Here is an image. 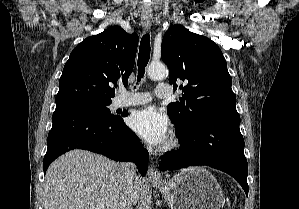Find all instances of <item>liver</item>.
Listing matches in <instances>:
<instances>
[{"instance_id": "obj_1", "label": "liver", "mask_w": 299, "mask_h": 209, "mask_svg": "<svg viewBox=\"0 0 299 209\" xmlns=\"http://www.w3.org/2000/svg\"><path fill=\"white\" fill-rule=\"evenodd\" d=\"M121 164L85 150H72L55 160L47 170L43 188L44 209H119L125 195ZM141 179L130 190L136 204Z\"/></svg>"}]
</instances>
